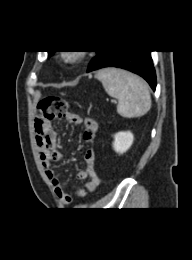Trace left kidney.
I'll return each instance as SVG.
<instances>
[{
    "mask_svg": "<svg viewBox=\"0 0 192 260\" xmlns=\"http://www.w3.org/2000/svg\"><path fill=\"white\" fill-rule=\"evenodd\" d=\"M134 136L130 131L118 132L114 135L113 148L117 153L123 154L132 145Z\"/></svg>",
    "mask_w": 192,
    "mask_h": 260,
    "instance_id": "left-kidney-1",
    "label": "left kidney"
}]
</instances>
